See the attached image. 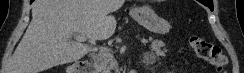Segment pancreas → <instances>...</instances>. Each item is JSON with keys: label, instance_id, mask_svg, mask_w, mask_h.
I'll list each match as a JSON object with an SVG mask.
<instances>
[{"label": "pancreas", "instance_id": "1", "mask_svg": "<svg viewBox=\"0 0 244 73\" xmlns=\"http://www.w3.org/2000/svg\"><path fill=\"white\" fill-rule=\"evenodd\" d=\"M168 50L165 43L160 40H153L151 43V53L155 56H164ZM95 64L100 73H109L110 69L116 67V61L109 50L99 52L95 57Z\"/></svg>", "mask_w": 244, "mask_h": 73}]
</instances>
